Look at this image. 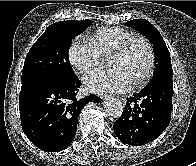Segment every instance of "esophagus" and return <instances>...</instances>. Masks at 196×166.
I'll return each mask as SVG.
<instances>
[{
	"instance_id": "obj_1",
	"label": "esophagus",
	"mask_w": 196,
	"mask_h": 166,
	"mask_svg": "<svg viewBox=\"0 0 196 166\" xmlns=\"http://www.w3.org/2000/svg\"><path fill=\"white\" fill-rule=\"evenodd\" d=\"M102 98H103V100H104L106 97H102ZM120 100H121L122 102H125V98H123V97H121Z\"/></svg>"
}]
</instances>
